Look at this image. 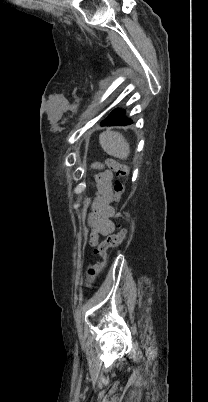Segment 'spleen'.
I'll use <instances>...</instances> for the list:
<instances>
[{
  "mask_svg": "<svg viewBox=\"0 0 208 402\" xmlns=\"http://www.w3.org/2000/svg\"><path fill=\"white\" fill-rule=\"evenodd\" d=\"M99 144L106 154L119 160H127L130 154L129 144L120 132H111V130L102 132L99 136Z\"/></svg>",
  "mask_w": 208,
  "mask_h": 402,
  "instance_id": "3e777b00",
  "label": "spleen"
}]
</instances>
